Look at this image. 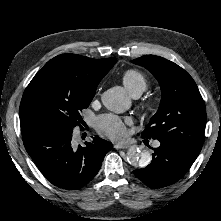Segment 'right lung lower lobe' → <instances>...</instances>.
Wrapping results in <instances>:
<instances>
[{"instance_id": "right-lung-lower-lobe-1", "label": "right lung lower lobe", "mask_w": 221, "mask_h": 221, "mask_svg": "<svg viewBox=\"0 0 221 221\" xmlns=\"http://www.w3.org/2000/svg\"><path fill=\"white\" fill-rule=\"evenodd\" d=\"M26 151L44 177L55 186L80 189L98 173L112 144L99 138L75 146L73 128L43 126L23 135Z\"/></svg>"}]
</instances>
